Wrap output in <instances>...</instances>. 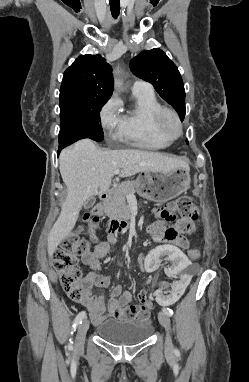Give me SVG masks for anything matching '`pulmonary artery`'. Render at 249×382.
<instances>
[{
    "mask_svg": "<svg viewBox=\"0 0 249 382\" xmlns=\"http://www.w3.org/2000/svg\"><path fill=\"white\" fill-rule=\"evenodd\" d=\"M132 91L153 92V88L151 84L145 81L136 80L133 82Z\"/></svg>",
    "mask_w": 249,
    "mask_h": 382,
    "instance_id": "pulmonary-artery-1",
    "label": "pulmonary artery"
}]
</instances>
